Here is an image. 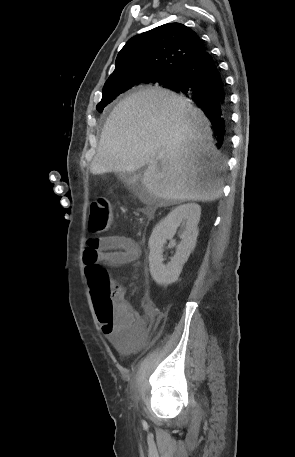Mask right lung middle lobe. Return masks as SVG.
Instances as JSON below:
<instances>
[{
    "instance_id": "obj_1",
    "label": "right lung middle lobe",
    "mask_w": 295,
    "mask_h": 457,
    "mask_svg": "<svg viewBox=\"0 0 295 457\" xmlns=\"http://www.w3.org/2000/svg\"><path fill=\"white\" fill-rule=\"evenodd\" d=\"M175 77L165 78L159 85L166 88L174 81ZM130 86V84H124L103 90V97L96 107L97 110L101 113L105 106L111 103L118 95L124 93Z\"/></svg>"
}]
</instances>
